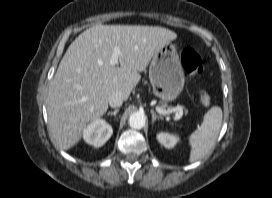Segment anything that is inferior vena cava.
Returning a JSON list of instances; mask_svg holds the SVG:
<instances>
[{"instance_id":"602c4592","label":"inferior vena cava","mask_w":272,"mask_h":198,"mask_svg":"<svg viewBox=\"0 0 272 198\" xmlns=\"http://www.w3.org/2000/svg\"><path fill=\"white\" fill-rule=\"evenodd\" d=\"M123 100V96L120 93L115 92L109 96L108 103L112 108H116L122 105Z\"/></svg>"}]
</instances>
